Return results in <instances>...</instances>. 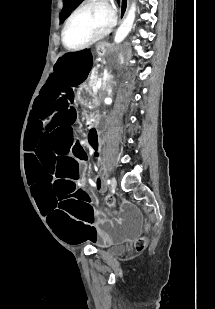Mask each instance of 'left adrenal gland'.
<instances>
[{
  "label": "left adrenal gland",
  "instance_id": "obj_1",
  "mask_svg": "<svg viewBox=\"0 0 215 309\" xmlns=\"http://www.w3.org/2000/svg\"><path fill=\"white\" fill-rule=\"evenodd\" d=\"M112 78H113L112 74H109V76H107L106 84H108V82H110V80H112ZM112 82H114V80H112Z\"/></svg>",
  "mask_w": 215,
  "mask_h": 309
}]
</instances>
